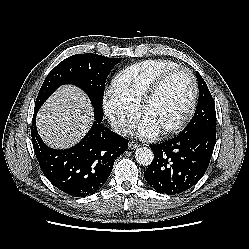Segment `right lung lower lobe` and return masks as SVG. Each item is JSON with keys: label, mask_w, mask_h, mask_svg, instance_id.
Segmentation results:
<instances>
[{"label": "right lung lower lobe", "mask_w": 249, "mask_h": 249, "mask_svg": "<svg viewBox=\"0 0 249 249\" xmlns=\"http://www.w3.org/2000/svg\"><path fill=\"white\" fill-rule=\"evenodd\" d=\"M34 112L31 136L35 155L47 179L62 192L84 197L97 192L108 179L115 159L128 149V140L95 122L74 147L57 150L48 147L36 128Z\"/></svg>", "instance_id": "98d812e1"}]
</instances>
